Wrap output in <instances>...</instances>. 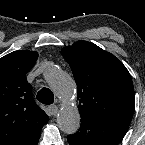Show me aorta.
I'll return each instance as SVG.
<instances>
[{
    "label": "aorta",
    "mask_w": 145,
    "mask_h": 145,
    "mask_svg": "<svg viewBox=\"0 0 145 145\" xmlns=\"http://www.w3.org/2000/svg\"><path fill=\"white\" fill-rule=\"evenodd\" d=\"M44 78L64 103L57 117L60 130L74 134L80 127V114L77 107L70 105L76 92L73 79L57 65L48 66Z\"/></svg>",
    "instance_id": "762f6f07"
}]
</instances>
